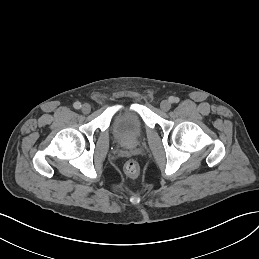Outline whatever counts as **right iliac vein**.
Instances as JSON below:
<instances>
[{
    "label": "right iliac vein",
    "mask_w": 259,
    "mask_h": 259,
    "mask_svg": "<svg viewBox=\"0 0 259 259\" xmlns=\"http://www.w3.org/2000/svg\"><path fill=\"white\" fill-rule=\"evenodd\" d=\"M81 111L84 114H88L91 111V106L89 104H83L82 108H81Z\"/></svg>",
    "instance_id": "obj_1"
}]
</instances>
